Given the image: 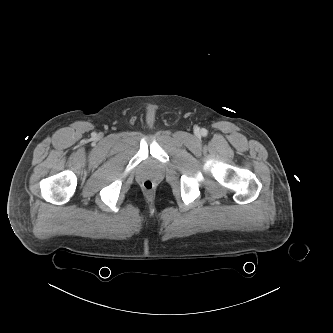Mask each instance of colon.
I'll return each instance as SVG.
<instances>
[{
	"mask_svg": "<svg viewBox=\"0 0 333 333\" xmlns=\"http://www.w3.org/2000/svg\"><path fill=\"white\" fill-rule=\"evenodd\" d=\"M142 187L144 190L150 192L154 189V183L151 180H144L142 183Z\"/></svg>",
	"mask_w": 333,
	"mask_h": 333,
	"instance_id": "colon-1",
	"label": "colon"
}]
</instances>
